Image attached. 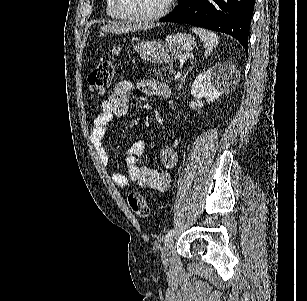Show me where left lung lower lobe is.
Instances as JSON below:
<instances>
[{"label":"left lung lower lobe","mask_w":307,"mask_h":301,"mask_svg":"<svg viewBox=\"0 0 307 301\" xmlns=\"http://www.w3.org/2000/svg\"><path fill=\"white\" fill-rule=\"evenodd\" d=\"M255 0H182L161 22L186 23L229 34L248 48Z\"/></svg>","instance_id":"0a47b994"}]
</instances>
